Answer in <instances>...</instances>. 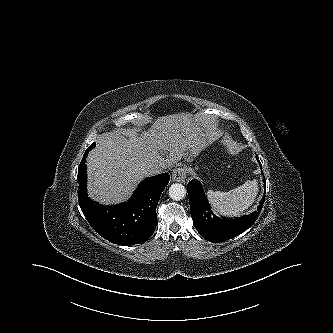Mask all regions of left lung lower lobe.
I'll return each instance as SVG.
<instances>
[{
	"instance_id": "left-lung-lower-lobe-1",
	"label": "left lung lower lobe",
	"mask_w": 333,
	"mask_h": 333,
	"mask_svg": "<svg viewBox=\"0 0 333 333\" xmlns=\"http://www.w3.org/2000/svg\"><path fill=\"white\" fill-rule=\"evenodd\" d=\"M257 161L260 163L259 159ZM263 182L266 189L265 179H263ZM187 192L193 224L199 234L210 242H224L246 231L257 220L265 201L264 196L257 207V211L249 215L234 219L220 218L212 215L202 186L197 180L189 182Z\"/></svg>"
}]
</instances>
